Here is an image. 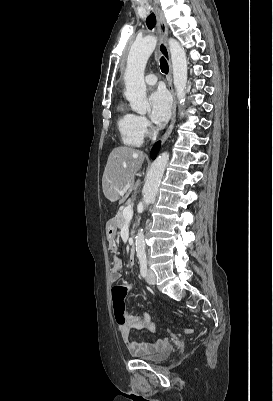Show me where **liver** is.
<instances>
[{
	"label": "liver",
	"instance_id": "obj_1",
	"mask_svg": "<svg viewBox=\"0 0 273 401\" xmlns=\"http://www.w3.org/2000/svg\"><path fill=\"white\" fill-rule=\"evenodd\" d=\"M145 158L142 150L131 146H117L111 150L102 178V188L109 201L124 203L130 192L135 188L134 176L141 168ZM126 184H130L125 194H119Z\"/></svg>",
	"mask_w": 273,
	"mask_h": 401
}]
</instances>
